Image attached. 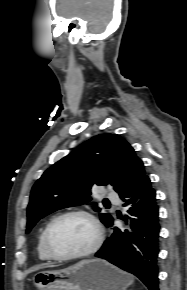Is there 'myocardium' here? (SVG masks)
I'll return each mask as SVG.
<instances>
[{
	"instance_id": "obj_1",
	"label": "myocardium",
	"mask_w": 187,
	"mask_h": 290,
	"mask_svg": "<svg viewBox=\"0 0 187 290\" xmlns=\"http://www.w3.org/2000/svg\"><path fill=\"white\" fill-rule=\"evenodd\" d=\"M69 216H82L90 222L95 233L94 242L87 250L83 252L74 253V254H59L53 249L52 244H51L52 229L57 222ZM102 241H103V232H102V228L99 221L91 212L85 209H71V210H67L60 213L49 222V224L45 228L44 236H43L44 247L48 255L52 259L61 260V261L62 260H75V259H82V258L89 257L99 250V248L102 245Z\"/></svg>"
}]
</instances>
